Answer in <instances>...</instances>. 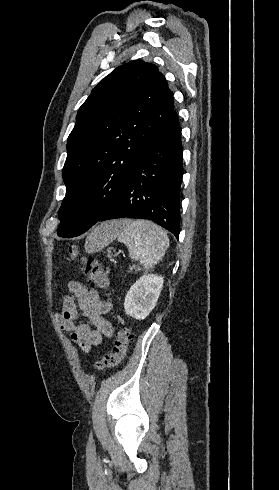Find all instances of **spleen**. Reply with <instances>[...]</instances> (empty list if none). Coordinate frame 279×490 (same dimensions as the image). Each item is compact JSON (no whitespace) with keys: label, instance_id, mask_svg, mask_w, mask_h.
<instances>
[{"label":"spleen","instance_id":"obj_1","mask_svg":"<svg viewBox=\"0 0 279 490\" xmlns=\"http://www.w3.org/2000/svg\"><path fill=\"white\" fill-rule=\"evenodd\" d=\"M109 232L102 226L95 228L87 242V252H100L114 238L128 248L129 258L139 260L145 272H150L166 254L169 240L166 232L149 220H112Z\"/></svg>","mask_w":279,"mask_h":490}]
</instances>
